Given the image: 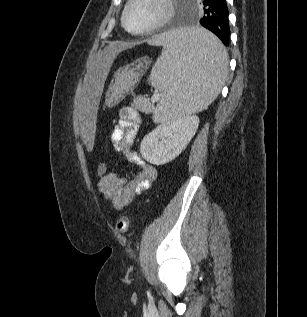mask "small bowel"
<instances>
[{
	"mask_svg": "<svg viewBox=\"0 0 307 317\" xmlns=\"http://www.w3.org/2000/svg\"><path fill=\"white\" fill-rule=\"evenodd\" d=\"M140 125V116L132 107L120 110L119 121L111 131L115 149L126 161L138 166L139 171L132 177H122L113 171L100 178L98 187L104 198L120 211L133 203L136 197L150 188L157 178V170L132 150L134 138Z\"/></svg>",
	"mask_w": 307,
	"mask_h": 317,
	"instance_id": "obj_1",
	"label": "small bowel"
}]
</instances>
